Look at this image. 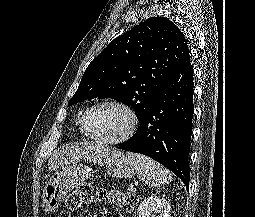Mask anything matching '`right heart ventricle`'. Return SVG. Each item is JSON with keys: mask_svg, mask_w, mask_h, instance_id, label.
Segmentation results:
<instances>
[{"mask_svg": "<svg viewBox=\"0 0 255 217\" xmlns=\"http://www.w3.org/2000/svg\"><path fill=\"white\" fill-rule=\"evenodd\" d=\"M79 128H80V132L84 137H87V135L83 132L82 128H81V120L79 121Z\"/></svg>", "mask_w": 255, "mask_h": 217, "instance_id": "right-heart-ventricle-1", "label": "right heart ventricle"}]
</instances>
